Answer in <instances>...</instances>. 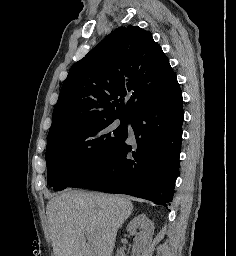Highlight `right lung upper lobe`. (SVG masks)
<instances>
[{
  "label": "right lung upper lobe",
  "instance_id": "1",
  "mask_svg": "<svg viewBox=\"0 0 236 256\" xmlns=\"http://www.w3.org/2000/svg\"><path fill=\"white\" fill-rule=\"evenodd\" d=\"M177 83L168 58L149 31L119 27L70 69L48 137L79 124L131 119L148 100Z\"/></svg>",
  "mask_w": 236,
  "mask_h": 256
}]
</instances>
